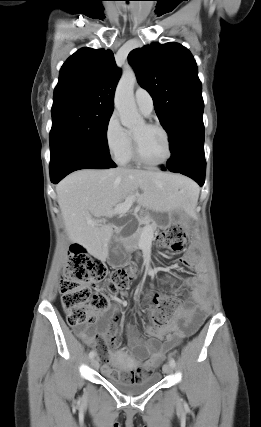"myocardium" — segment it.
<instances>
[{
	"mask_svg": "<svg viewBox=\"0 0 261 427\" xmlns=\"http://www.w3.org/2000/svg\"><path fill=\"white\" fill-rule=\"evenodd\" d=\"M144 124L146 127L158 129L164 134L165 139H166V143H167V147H168V154H167L166 158L161 162H157V163L148 162L141 155L138 140H137L136 136L132 133V152H133L134 159L140 165L148 167V168H157V167L163 166L171 159V157L173 155V148H172L170 135H169L167 129L159 123L146 122Z\"/></svg>",
	"mask_w": 261,
	"mask_h": 427,
	"instance_id": "myocardium-1",
	"label": "myocardium"
}]
</instances>
